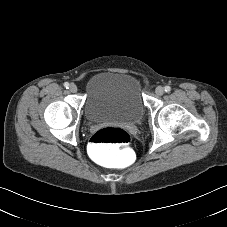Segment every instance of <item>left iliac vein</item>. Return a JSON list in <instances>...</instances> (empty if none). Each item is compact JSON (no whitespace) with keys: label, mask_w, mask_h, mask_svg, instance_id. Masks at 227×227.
I'll list each match as a JSON object with an SVG mask.
<instances>
[{"label":"left iliac vein","mask_w":227,"mask_h":227,"mask_svg":"<svg viewBox=\"0 0 227 227\" xmlns=\"http://www.w3.org/2000/svg\"><path fill=\"white\" fill-rule=\"evenodd\" d=\"M163 93H164V88L161 87V86H158L156 88V94L159 95V96H161V95H163Z\"/></svg>","instance_id":"left-iliac-vein-1"}]
</instances>
